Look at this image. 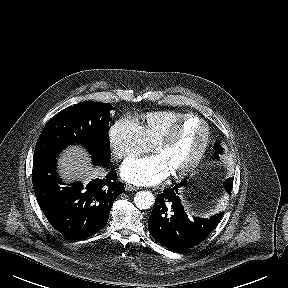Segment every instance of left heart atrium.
Segmentation results:
<instances>
[{
	"label": "left heart atrium",
	"mask_w": 288,
	"mask_h": 288,
	"mask_svg": "<svg viewBox=\"0 0 288 288\" xmlns=\"http://www.w3.org/2000/svg\"><path fill=\"white\" fill-rule=\"evenodd\" d=\"M169 175V170L159 155L126 160L121 167L122 178L135 185H155Z\"/></svg>",
	"instance_id": "left-heart-atrium-1"
}]
</instances>
